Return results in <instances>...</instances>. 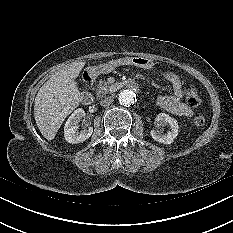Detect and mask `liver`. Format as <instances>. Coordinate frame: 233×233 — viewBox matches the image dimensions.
<instances>
[{
	"instance_id": "1",
	"label": "liver",
	"mask_w": 233,
	"mask_h": 233,
	"mask_svg": "<svg viewBox=\"0 0 233 233\" xmlns=\"http://www.w3.org/2000/svg\"><path fill=\"white\" fill-rule=\"evenodd\" d=\"M85 62H74L56 72L39 89L34 102V117L41 134L52 140L65 118L79 105L81 94L75 79Z\"/></svg>"
}]
</instances>
